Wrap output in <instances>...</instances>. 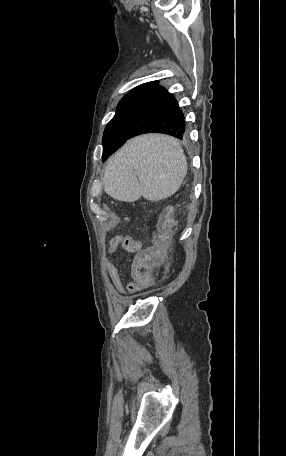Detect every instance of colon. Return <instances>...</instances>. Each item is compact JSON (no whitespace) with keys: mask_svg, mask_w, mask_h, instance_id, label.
I'll return each mask as SVG.
<instances>
[{"mask_svg":"<svg viewBox=\"0 0 286 456\" xmlns=\"http://www.w3.org/2000/svg\"><path fill=\"white\" fill-rule=\"evenodd\" d=\"M165 234L161 227L156 243L148 248H137V254L131 267V277L140 289L152 286L156 281L155 271L160 269L166 260Z\"/></svg>","mask_w":286,"mask_h":456,"instance_id":"1","label":"colon"}]
</instances>
